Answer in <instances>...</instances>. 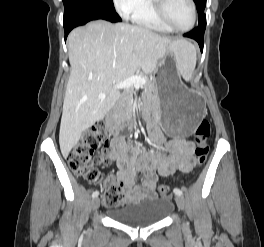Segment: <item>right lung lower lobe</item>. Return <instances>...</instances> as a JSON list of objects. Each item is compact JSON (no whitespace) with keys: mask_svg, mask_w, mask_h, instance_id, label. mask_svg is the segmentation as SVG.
<instances>
[{"mask_svg":"<svg viewBox=\"0 0 264 247\" xmlns=\"http://www.w3.org/2000/svg\"><path fill=\"white\" fill-rule=\"evenodd\" d=\"M64 8L65 40L74 27L84 25L91 20L103 19L110 22L121 21V18L115 10L106 11L82 5H68Z\"/></svg>","mask_w":264,"mask_h":247,"instance_id":"1","label":"right lung lower lobe"}]
</instances>
